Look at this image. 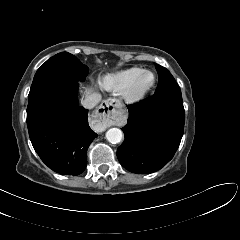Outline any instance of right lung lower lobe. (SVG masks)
Wrapping results in <instances>:
<instances>
[{
	"mask_svg": "<svg viewBox=\"0 0 240 240\" xmlns=\"http://www.w3.org/2000/svg\"><path fill=\"white\" fill-rule=\"evenodd\" d=\"M28 100L27 127L41 160L59 174H81L98 135L89 127L88 111L78 104L77 81L49 83Z\"/></svg>",
	"mask_w": 240,
	"mask_h": 240,
	"instance_id": "right-lung-lower-lobe-1",
	"label": "right lung lower lobe"
}]
</instances>
